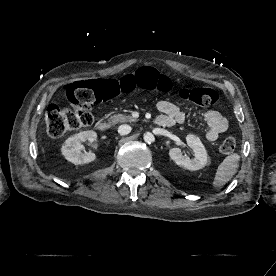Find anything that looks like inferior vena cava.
<instances>
[{
	"label": "inferior vena cava",
	"mask_w": 276,
	"mask_h": 276,
	"mask_svg": "<svg viewBox=\"0 0 276 276\" xmlns=\"http://www.w3.org/2000/svg\"><path fill=\"white\" fill-rule=\"evenodd\" d=\"M131 130H132V128L129 125L124 124V125L119 126L118 133L120 135H127L131 132Z\"/></svg>",
	"instance_id": "inferior-vena-cava-1"
}]
</instances>
